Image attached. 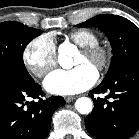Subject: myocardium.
I'll return each mask as SVG.
<instances>
[{
	"instance_id": "1",
	"label": "myocardium",
	"mask_w": 139,
	"mask_h": 139,
	"mask_svg": "<svg viewBox=\"0 0 139 139\" xmlns=\"http://www.w3.org/2000/svg\"><path fill=\"white\" fill-rule=\"evenodd\" d=\"M81 52L84 53L87 58L93 62L95 69L98 72H103L109 67L111 53L106 46L100 43H95L81 47Z\"/></svg>"
}]
</instances>
